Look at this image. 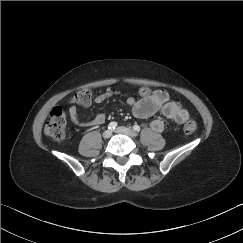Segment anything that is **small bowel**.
Returning a JSON list of instances; mask_svg holds the SVG:
<instances>
[{
    "label": "small bowel",
    "instance_id": "1",
    "mask_svg": "<svg viewBox=\"0 0 243 243\" xmlns=\"http://www.w3.org/2000/svg\"><path fill=\"white\" fill-rule=\"evenodd\" d=\"M112 95V91H106L98 94L94 101L101 104L110 99ZM139 95L140 99L133 97L127 99V105L136 118L145 119L161 111L166 118L177 124H183L189 119V111L179 103L171 101L165 90L150 91L148 88H141ZM69 116L72 123L77 127L99 126L106 121V115L99 113L92 121L85 122L81 119L75 106L70 107ZM150 127L154 132H161L165 124L161 119H154L151 121Z\"/></svg>",
    "mask_w": 243,
    "mask_h": 243
}]
</instances>
